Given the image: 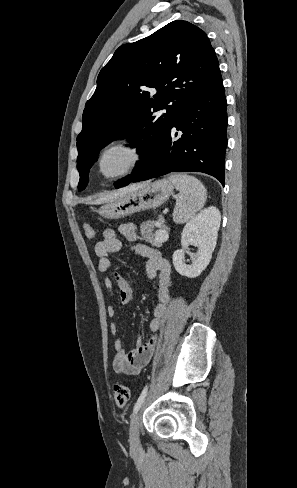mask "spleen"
<instances>
[{
    "label": "spleen",
    "instance_id": "1",
    "mask_svg": "<svg viewBox=\"0 0 297 488\" xmlns=\"http://www.w3.org/2000/svg\"><path fill=\"white\" fill-rule=\"evenodd\" d=\"M169 180L180 192L173 212L174 221L186 222L204 206L205 187L198 179L189 175H171Z\"/></svg>",
    "mask_w": 297,
    "mask_h": 488
}]
</instances>
